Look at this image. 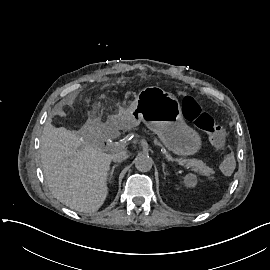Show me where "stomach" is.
Listing matches in <instances>:
<instances>
[{"label": "stomach", "mask_w": 270, "mask_h": 270, "mask_svg": "<svg viewBox=\"0 0 270 270\" xmlns=\"http://www.w3.org/2000/svg\"><path fill=\"white\" fill-rule=\"evenodd\" d=\"M120 117L125 128L143 122L174 154L193 155L201 148V138L185 123L177 98L160 87L148 86L140 90Z\"/></svg>", "instance_id": "obj_1"}]
</instances>
